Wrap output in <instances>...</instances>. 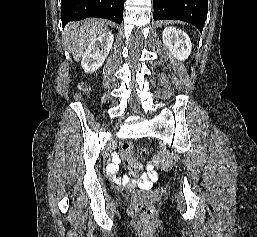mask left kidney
<instances>
[{
	"label": "left kidney",
	"mask_w": 257,
	"mask_h": 237,
	"mask_svg": "<svg viewBox=\"0 0 257 237\" xmlns=\"http://www.w3.org/2000/svg\"><path fill=\"white\" fill-rule=\"evenodd\" d=\"M163 43L178 60H185L191 53L192 45L188 35L176 28L166 27L162 34Z\"/></svg>",
	"instance_id": "left-kidney-1"
}]
</instances>
